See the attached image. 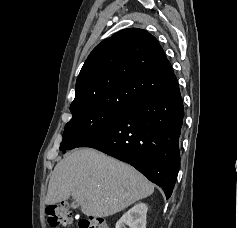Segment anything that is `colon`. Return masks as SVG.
I'll list each match as a JSON object with an SVG mask.
<instances>
[{
  "label": "colon",
  "mask_w": 238,
  "mask_h": 228,
  "mask_svg": "<svg viewBox=\"0 0 238 228\" xmlns=\"http://www.w3.org/2000/svg\"><path fill=\"white\" fill-rule=\"evenodd\" d=\"M46 215L52 228H69L74 222L73 213L66 203H57L47 206ZM79 228H110L105 219L99 217L80 218Z\"/></svg>",
  "instance_id": "5ec220e1"
}]
</instances>
